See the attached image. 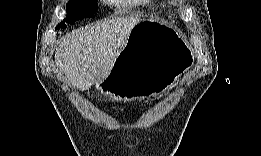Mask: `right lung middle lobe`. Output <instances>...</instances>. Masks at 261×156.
<instances>
[{
  "mask_svg": "<svg viewBox=\"0 0 261 156\" xmlns=\"http://www.w3.org/2000/svg\"><path fill=\"white\" fill-rule=\"evenodd\" d=\"M66 11L68 12L66 18L56 26V30L65 28V22L73 24L75 21L93 17L97 11V4L93 0H69Z\"/></svg>",
  "mask_w": 261,
  "mask_h": 156,
  "instance_id": "1",
  "label": "right lung middle lobe"
}]
</instances>
